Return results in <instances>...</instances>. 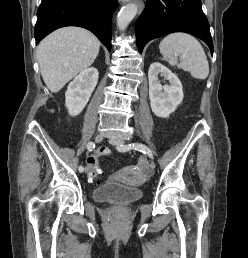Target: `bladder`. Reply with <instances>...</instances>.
Wrapping results in <instances>:
<instances>
[{
    "label": "bladder",
    "mask_w": 248,
    "mask_h": 258,
    "mask_svg": "<svg viewBox=\"0 0 248 258\" xmlns=\"http://www.w3.org/2000/svg\"><path fill=\"white\" fill-rule=\"evenodd\" d=\"M140 189L129 187L115 182H107L93 191V197L98 202H112L120 205H129L142 198Z\"/></svg>",
    "instance_id": "1"
}]
</instances>
